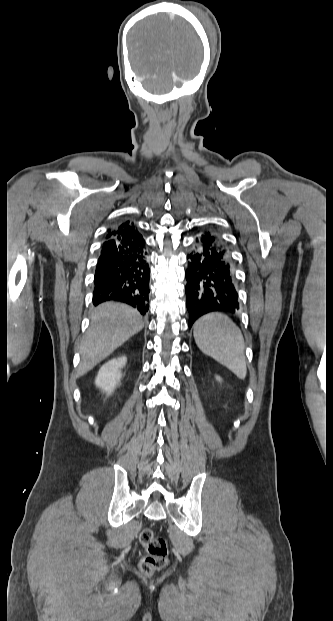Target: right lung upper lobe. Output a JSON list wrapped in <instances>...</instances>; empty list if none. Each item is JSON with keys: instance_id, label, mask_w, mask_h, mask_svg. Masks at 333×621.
I'll list each match as a JSON object with an SVG mask.
<instances>
[{"instance_id": "1", "label": "right lung upper lobe", "mask_w": 333, "mask_h": 621, "mask_svg": "<svg viewBox=\"0 0 333 621\" xmlns=\"http://www.w3.org/2000/svg\"><path fill=\"white\" fill-rule=\"evenodd\" d=\"M114 239L127 246H142L145 244L143 236L137 231L133 223L123 222L114 229H109L105 235V240Z\"/></svg>"}]
</instances>
